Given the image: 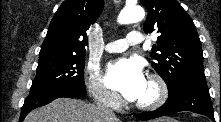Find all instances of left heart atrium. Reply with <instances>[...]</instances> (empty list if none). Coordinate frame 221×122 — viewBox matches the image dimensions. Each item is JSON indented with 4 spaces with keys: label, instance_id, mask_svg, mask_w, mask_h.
Wrapping results in <instances>:
<instances>
[{
    "label": "left heart atrium",
    "instance_id": "left-heart-atrium-1",
    "mask_svg": "<svg viewBox=\"0 0 221 122\" xmlns=\"http://www.w3.org/2000/svg\"><path fill=\"white\" fill-rule=\"evenodd\" d=\"M106 85L129 101H137L143 94L147 80L142 64L135 58H120L106 69Z\"/></svg>",
    "mask_w": 221,
    "mask_h": 122
}]
</instances>
